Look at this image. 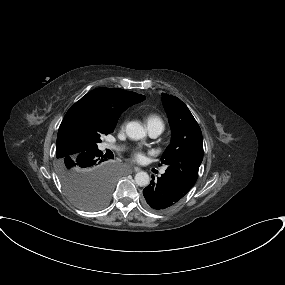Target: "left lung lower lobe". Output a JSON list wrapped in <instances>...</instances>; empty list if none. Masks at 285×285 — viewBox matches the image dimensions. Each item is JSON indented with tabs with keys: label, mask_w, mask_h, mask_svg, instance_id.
Returning a JSON list of instances; mask_svg holds the SVG:
<instances>
[{
	"label": "left lung lower lobe",
	"mask_w": 285,
	"mask_h": 285,
	"mask_svg": "<svg viewBox=\"0 0 285 285\" xmlns=\"http://www.w3.org/2000/svg\"><path fill=\"white\" fill-rule=\"evenodd\" d=\"M193 185L181 177L165 172L157 181H152L144 188L146 204L156 211H165L184 197Z\"/></svg>",
	"instance_id": "0a47b994"
}]
</instances>
